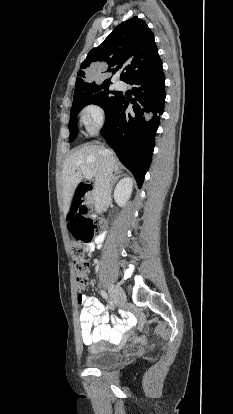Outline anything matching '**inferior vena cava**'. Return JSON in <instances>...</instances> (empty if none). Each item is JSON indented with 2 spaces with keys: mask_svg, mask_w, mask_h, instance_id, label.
Listing matches in <instances>:
<instances>
[{
  "mask_svg": "<svg viewBox=\"0 0 233 414\" xmlns=\"http://www.w3.org/2000/svg\"><path fill=\"white\" fill-rule=\"evenodd\" d=\"M113 153L106 150L105 157L98 175L95 178L94 199L95 209L98 213L102 212L105 204L111 197V179L113 173Z\"/></svg>",
  "mask_w": 233,
  "mask_h": 414,
  "instance_id": "obj_1",
  "label": "inferior vena cava"
}]
</instances>
